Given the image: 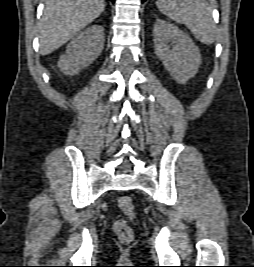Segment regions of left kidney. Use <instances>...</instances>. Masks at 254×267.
Masks as SVG:
<instances>
[{
    "label": "left kidney",
    "mask_w": 254,
    "mask_h": 267,
    "mask_svg": "<svg viewBox=\"0 0 254 267\" xmlns=\"http://www.w3.org/2000/svg\"><path fill=\"white\" fill-rule=\"evenodd\" d=\"M153 35L157 57L177 82L186 84L196 75L201 64L198 47L176 25L162 19L156 20Z\"/></svg>",
    "instance_id": "obj_1"
}]
</instances>
